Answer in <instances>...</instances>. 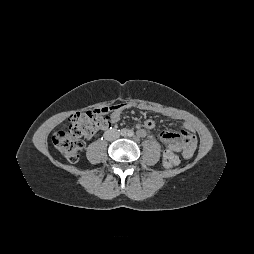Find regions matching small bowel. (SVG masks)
<instances>
[{
  "label": "small bowel",
  "instance_id": "small-bowel-1",
  "mask_svg": "<svg viewBox=\"0 0 254 254\" xmlns=\"http://www.w3.org/2000/svg\"><path fill=\"white\" fill-rule=\"evenodd\" d=\"M131 104L122 103L109 107V115L106 120L105 126L101 129L109 128L113 124L117 123L120 119L121 112L124 109L130 108ZM155 112H158L166 117L179 119L180 116L176 113L161 110V109H152ZM144 127L148 130H151L155 127V122L152 119H146L144 121ZM160 140L166 144V150L164 151L163 159L170 154L180 153L181 157L184 159H189L193 156L197 139L191 128V125L188 122H184L183 128L179 132L173 131H162L160 133Z\"/></svg>",
  "mask_w": 254,
  "mask_h": 254
}]
</instances>
